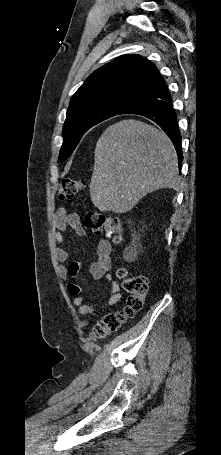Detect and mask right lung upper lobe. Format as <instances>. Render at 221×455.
<instances>
[{"mask_svg": "<svg viewBox=\"0 0 221 455\" xmlns=\"http://www.w3.org/2000/svg\"><path fill=\"white\" fill-rule=\"evenodd\" d=\"M160 74L139 55H124L98 68L75 92L67 112L92 103L108 102L124 109L146 96Z\"/></svg>", "mask_w": 221, "mask_h": 455, "instance_id": "obj_1", "label": "right lung upper lobe"}]
</instances>
